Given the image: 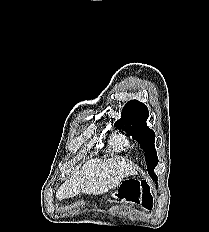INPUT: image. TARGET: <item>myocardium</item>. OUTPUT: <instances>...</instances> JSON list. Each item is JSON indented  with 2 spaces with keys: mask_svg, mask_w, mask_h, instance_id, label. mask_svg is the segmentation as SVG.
Returning <instances> with one entry per match:
<instances>
[{
  "mask_svg": "<svg viewBox=\"0 0 209 232\" xmlns=\"http://www.w3.org/2000/svg\"><path fill=\"white\" fill-rule=\"evenodd\" d=\"M120 140H121V143L123 145H126V146L129 145V143H130V140L127 137H124V136L120 137Z\"/></svg>",
  "mask_w": 209,
  "mask_h": 232,
  "instance_id": "1",
  "label": "myocardium"
}]
</instances>
